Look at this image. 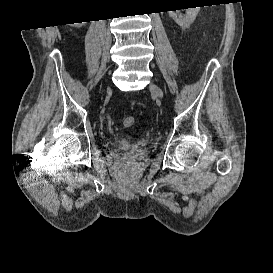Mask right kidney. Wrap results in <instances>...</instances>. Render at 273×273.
Wrapping results in <instances>:
<instances>
[{
	"label": "right kidney",
	"instance_id": "ca27d5eb",
	"mask_svg": "<svg viewBox=\"0 0 273 273\" xmlns=\"http://www.w3.org/2000/svg\"><path fill=\"white\" fill-rule=\"evenodd\" d=\"M82 24H84V22H82V23H76V25H79V26H81Z\"/></svg>",
	"mask_w": 273,
	"mask_h": 273
}]
</instances>
